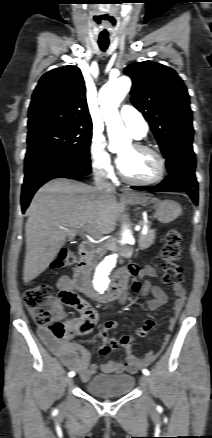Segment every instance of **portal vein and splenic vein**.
<instances>
[{
    "mask_svg": "<svg viewBox=\"0 0 212 438\" xmlns=\"http://www.w3.org/2000/svg\"><path fill=\"white\" fill-rule=\"evenodd\" d=\"M84 230L87 231V232H89V233H92V231H91L89 228H87V227L84 228Z\"/></svg>",
    "mask_w": 212,
    "mask_h": 438,
    "instance_id": "18ae733b",
    "label": "portal vein and splenic vein"
}]
</instances>
